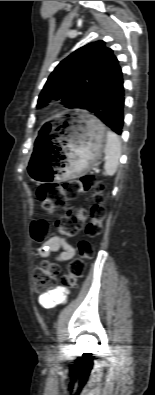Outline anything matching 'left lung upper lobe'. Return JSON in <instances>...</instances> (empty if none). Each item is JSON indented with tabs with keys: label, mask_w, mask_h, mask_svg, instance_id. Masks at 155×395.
<instances>
[{
	"label": "left lung upper lobe",
	"mask_w": 155,
	"mask_h": 395,
	"mask_svg": "<svg viewBox=\"0 0 155 395\" xmlns=\"http://www.w3.org/2000/svg\"><path fill=\"white\" fill-rule=\"evenodd\" d=\"M104 41L89 43L62 60L49 76L37 107L62 99L67 108H79L119 61Z\"/></svg>",
	"instance_id": "1"
}]
</instances>
